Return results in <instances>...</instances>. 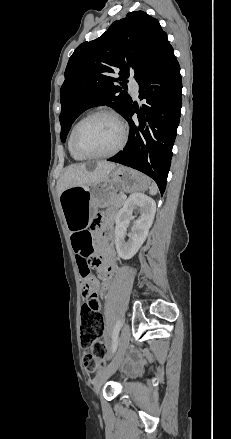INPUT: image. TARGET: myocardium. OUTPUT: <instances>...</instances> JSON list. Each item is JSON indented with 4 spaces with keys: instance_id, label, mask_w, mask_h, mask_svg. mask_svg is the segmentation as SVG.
I'll return each instance as SVG.
<instances>
[{
    "instance_id": "f54148a6",
    "label": "myocardium",
    "mask_w": 231,
    "mask_h": 439,
    "mask_svg": "<svg viewBox=\"0 0 231 439\" xmlns=\"http://www.w3.org/2000/svg\"><path fill=\"white\" fill-rule=\"evenodd\" d=\"M99 116L109 117L118 124V126L120 127V130H121L120 141L112 150H110L106 153H101V154L86 153V152L82 151L77 145L76 136H77L78 130L88 120L95 118V117H99ZM127 134H128L127 127H126L125 123L123 122V120L115 112L103 109V110H97V111L91 112L88 115H86L85 117H83L82 119H80L72 129L70 141H71L72 149L78 155L83 157L84 159H105V158H110V157L116 155L124 148V146L127 142Z\"/></svg>"
}]
</instances>
